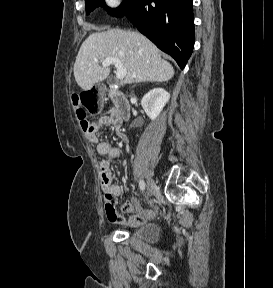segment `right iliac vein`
<instances>
[{"label": "right iliac vein", "instance_id": "obj_1", "mask_svg": "<svg viewBox=\"0 0 273 288\" xmlns=\"http://www.w3.org/2000/svg\"><path fill=\"white\" fill-rule=\"evenodd\" d=\"M156 191V184L154 180L149 179L147 184L146 200H148Z\"/></svg>", "mask_w": 273, "mask_h": 288}]
</instances>
